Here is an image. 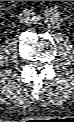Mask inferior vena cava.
Masks as SVG:
<instances>
[{
    "instance_id": "obj_1",
    "label": "inferior vena cava",
    "mask_w": 74,
    "mask_h": 122,
    "mask_svg": "<svg viewBox=\"0 0 74 122\" xmlns=\"http://www.w3.org/2000/svg\"><path fill=\"white\" fill-rule=\"evenodd\" d=\"M33 14H34V13L31 12L30 10L25 9V10L22 11V13L20 14V20H21V22H23V23H28L29 20H30L29 16H30V15H33Z\"/></svg>"
}]
</instances>
